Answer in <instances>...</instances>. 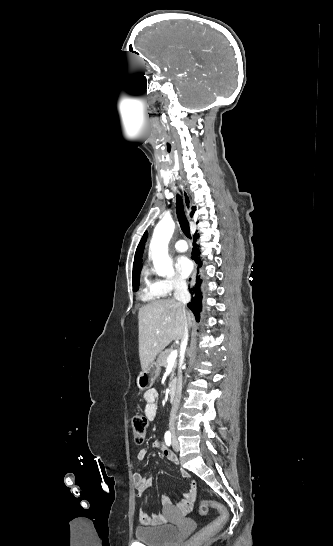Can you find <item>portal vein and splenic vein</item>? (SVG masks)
Returning a JSON list of instances; mask_svg holds the SVG:
<instances>
[{
  "label": "portal vein and splenic vein",
  "instance_id": "obj_1",
  "mask_svg": "<svg viewBox=\"0 0 333 546\" xmlns=\"http://www.w3.org/2000/svg\"><path fill=\"white\" fill-rule=\"evenodd\" d=\"M177 355H178V351L177 350H173L170 355L168 356L167 358V363L168 364H174L175 361H176V358H177Z\"/></svg>",
  "mask_w": 333,
  "mask_h": 546
}]
</instances>
